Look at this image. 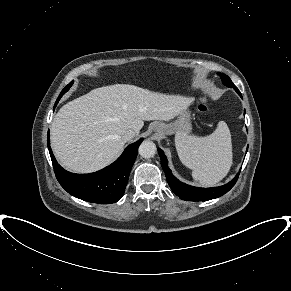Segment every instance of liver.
<instances>
[{
	"label": "liver",
	"mask_w": 291,
	"mask_h": 291,
	"mask_svg": "<svg viewBox=\"0 0 291 291\" xmlns=\"http://www.w3.org/2000/svg\"><path fill=\"white\" fill-rule=\"evenodd\" d=\"M192 101L128 84L94 89L68 102L55 115L50 129L53 152L70 171H97L121 152L125 131L139 133L144 121H169Z\"/></svg>",
	"instance_id": "1"
}]
</instances>
